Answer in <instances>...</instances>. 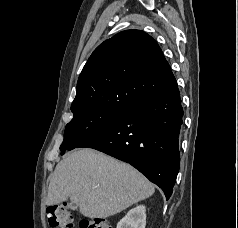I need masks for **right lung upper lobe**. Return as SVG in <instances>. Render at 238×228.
<instances>
[{
	"label": "right lung upper lobe",
	"mask_w": 238,
	"mask_h": 228,
	"mask_svg": "<svg viewBox=\"0 0 238 228\" xmlns=\"http://www.w3.org/2000/svg\"><path fill=\"white\" fill-rule=\"evenodd\" d=\"M175 84L157 42L143 31L126 30L92 53L79 76L71 110L129 107Z\"/></svg>",
	"instance_id": "1"
}]
</instances>
